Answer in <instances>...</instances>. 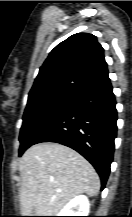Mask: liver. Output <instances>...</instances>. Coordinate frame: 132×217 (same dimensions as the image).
<instances>
[{
  "label": "liver",
  "mask_w": 132,
  "mask_h": 217,
  "mask_svg": "<svg viewBox=\"0 0 132 217\" xmlns=\"http://www.w3.org/2000/svg\"><path fill=\"white\" fill-rule=\"evenodd\" d=\"M19 170L23 216H56L72 198L83 193L93 197L100 189L93 166L75 150L58 143L30 147Z\"/></svg>",
  "instance_id": "6515ba94"
}]
</instances>
